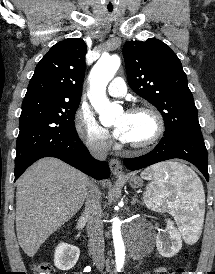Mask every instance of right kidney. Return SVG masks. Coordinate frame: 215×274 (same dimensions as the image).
<instances>
[{
	"instance_id": "1",
	"label": "right kidney",
	"mask_w": 215,
	"mask_h": 274,
	"mask_svg": "<svg viewBox=\"0 0 215 274\" xmlns=\"http://www.w3.org/2000/svg\"><path fill=\"white\" fill-rule=\"evenodd\" d=\"M79 255L80 250L78 247L67 243H60L55 249V266L62 271H67L74 267L78 261Z\"/></svg>"
}]
</instances>
